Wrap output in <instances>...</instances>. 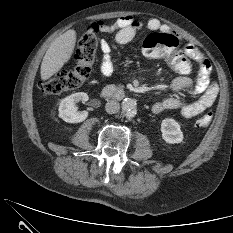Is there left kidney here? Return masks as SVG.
<instances>
[{
	"mask_svg": "<svg viewBox=\"0 0 233 233\" xmlns=\"http://www.w3.org/2000/svg\"><path fill=\"white\" fill-rule=\"evenodd\" d=\"M161 132L162 138L166 143L178 144L183 141L184 136L180 124L172 118L162 120Z\"/></svg>",
	"mask_w": 233,
	"mask_h": 233,
	"instance_id": "obj_1",
	"label": "left kidney"
}]
</instances>
